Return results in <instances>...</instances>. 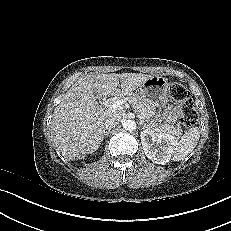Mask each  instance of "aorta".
Wrapping results in <instances>:
<instances>
[{"instance_id":"aorta-1","label":"aorta","mask_w":231,"mask_h":231,"mask_svg":"<svg viewBox=\"0 0 231 231\" xmlns=\"http://www.w3.org/2000/svg\"><path fill=\"white\" fill-rule=\"evenodd\" d=\"M122 125L123 128L127 131H134L136 129V122L131 119L124 120Z\"/></svg>"}]
</instances>
